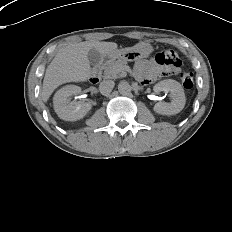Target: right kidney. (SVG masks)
Returning <instances> with one entry per match:
<instances>
[{"mask_svg": "<svg viewBox=\"0 0 232 232\" xmlns=\"http://www.w3.org/2000/svg\"><path fill=\"white\" fill-rule=\"evenodd\" d=\"M81 88L76 85H67L59 89L53 98L54 110L58 117L65 121L82 119L92 108L90 103L70 101L69 97L80 94Z\"/></svg>", "mask_w": 232, "mask_h": 232, "instance_id": "1", "label": "right kidney"}]
</instances>
